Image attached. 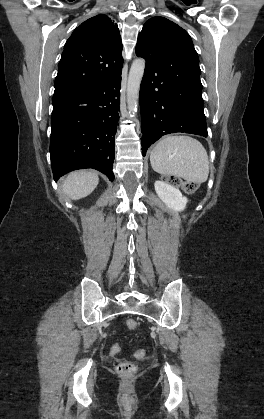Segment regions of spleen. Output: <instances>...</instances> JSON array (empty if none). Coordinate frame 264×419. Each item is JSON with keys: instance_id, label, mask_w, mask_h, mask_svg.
Here are the masks:
<instances>
[{"instance_id": "1", "label": "spleen", "mask_w": 264, "mask_h": 419, "mask_svg": "<svg viewBox=\"0 0 264 419\" xmlns=\"http://www.w3.org/2000/svg\"><path fill=\"white\" fill-rule=\"evenodd\" d=\"M154 171L162 175L181 177L197 184L208 179L209 160L203 145L190 136H167L150 154Z\"/></svg>"}]
</instances>
